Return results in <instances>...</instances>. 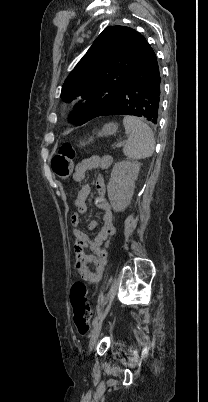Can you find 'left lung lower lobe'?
Masks as SVG:
<instances>
[{"instance_id":"0a47b994","label":"left lung lower lobe","mask_w":208,"mask_h":402,"mask_svg":"<svg viewBox=\"0 0 208 402\" xmlns=\"http://www.w3.org/2000/svg\"><path fill=\"white\" fill-rule=\"evenodd\" d=\"M138 43L137 67L121 87L116 99L98 116L134 115L157 124L161 106L162 84L157 57L146 39L133 30Z\"/></svg>"}]
</instances>
